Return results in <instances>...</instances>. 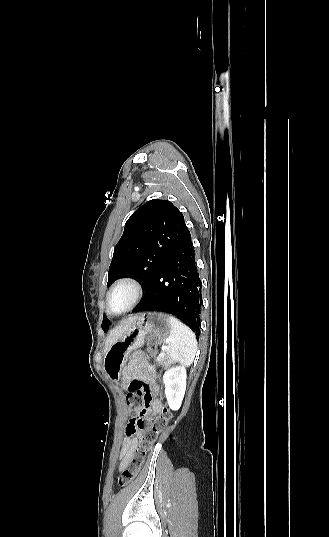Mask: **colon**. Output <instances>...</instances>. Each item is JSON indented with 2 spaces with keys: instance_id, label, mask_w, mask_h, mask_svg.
I'll return each instance as SVG.
<instances>
[{
  "instance_id": "5ec220e1",
  "label": "colon",
  "mask_w": 329,
  "mask_h": 537,
  "mask_svg": "<svg viewBox=\"0 0 329 537\" xmlns=\"http://www.w3.org/2000/svg\"><path fill=\"white\" fill-rule=\"evenodd\" d=\"M149 352L154 354L155 350L150 348ZM149 401L150 397L145 387L143 391L138 392L136 395L132 397L127 396L128 411L132 418L131 421L133 426L140 432V437L135 455L118 478L119 486H127L138 475L145 456L151 450L153 444L165 430L171 419V411L164 405L158 417L153 422H148L144 416Z\"/></svg>"
}]
</instances>
